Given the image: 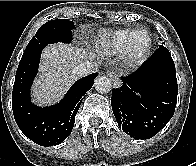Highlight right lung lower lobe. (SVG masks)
<instances>
[{"instance_id": "obj_1", "label": "right lung lower lobe", "mask_w": 196, "mask_h": 166, "mask_svg": "<svg viewBox=\"0 0 196 166\" xmlns=\"http://www.w3.org/2000/svg\"><path fill=\"white\" fill-rule=\"evenodd\" d=\"M43 48L24 51L16 71L12 109L24 135L36 144L48 147L63 142L70 135L82 97L92 87L97 74L78 80L59 103L45 108L37 107L30 102V87L38 71Z\"/></svg>"}]
</instances>
